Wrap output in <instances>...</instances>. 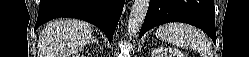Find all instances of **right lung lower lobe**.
Masks as SVG:
<instances>
[{"label":"right lung lower lobe","mask_w":249,"mask_h":57,"mask_svg":"<svg viewBox=\"0 0 249 57\" xmlns=\"http://www.w3.org/2000/svg\"><path fill=\"white\" fill-rule=\"evenodd\" d=\"M124 0H40L35 30L58 17H71L97 26L112 42Z\"/></svg>","instance_id":"1"}]
</instances>
